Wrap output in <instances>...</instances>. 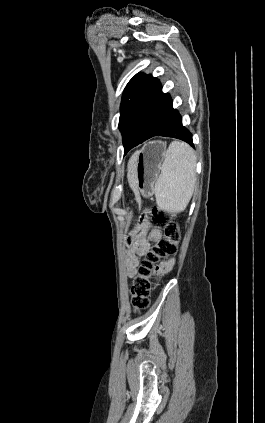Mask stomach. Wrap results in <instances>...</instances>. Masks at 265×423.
Segmentation results:
<instances>
[{"instance_id":"0dacf381","label":"stomach","mask_w":265,"mask_h":423,"mask_svg":"<svg viewBox=\"0 0 265 423\" xmlns=\"http://www.w3.org/2000/svg\"><path fill=\"white\" fill-rule=\"evenodd\" d=\"M165 155L166 144L162 141H150L134 154L136 178L144 195L152 193Z\"/></svg>"}]
</instances>
